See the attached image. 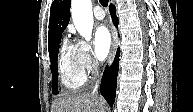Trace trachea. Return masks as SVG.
Listing matches in <instances>:
<instances>
[{"label":"trachea","instance_id":"trachea-1","mask_svg":"<svg viewBox=\"0 0 193 112\" xmlns=\"http://www.w3.org/2000/svg\"><path fill=\"white\" fill-rule=\"evenodd\" d=\"M99 1H100L102 6L106 7L108 5V0H99Z\"/></svg>","mask_w":193,"mask_h":112}]
</instances>
